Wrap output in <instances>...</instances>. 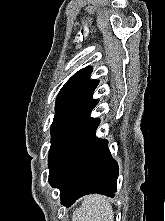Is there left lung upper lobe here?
Here are the masks:
<instances>
[{
  "label": "left lung upper lobe",
  "instance_id": "5c2ea615",
  "mask_svg": "<svg viewBox=\"0 0 165 221\" xmlns=\"http://www.w3.org/2000/svg\"><path fill=\"white\" fill-rule=\"evenodd\" d=\"M92 67L76 72L62 87L57 99L53 123L51 125V147L82 118L89 114L98 101L92 98L98 80H90Z\"/></svg>",
  "mask_w": 165,
  "mask_h": 221
}]
</instances>
